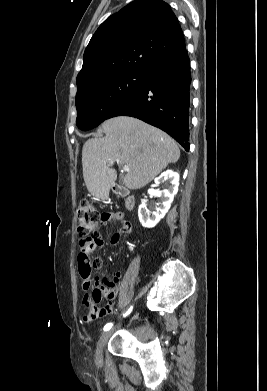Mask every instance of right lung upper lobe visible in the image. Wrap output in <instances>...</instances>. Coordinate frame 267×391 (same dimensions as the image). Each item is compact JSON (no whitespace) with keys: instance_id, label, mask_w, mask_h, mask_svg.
Listing matches in <instances>:
<instances>
[{"instance_id":"cb5924a9","label":"right lung upper lobe","mask_w":267,"mask_h":391,"mask_svg":"<svg viewBox=\"0 0 267 391\" xmlns=\"http://www.w3.org/2000/svg\"><path fill=\"white\" fill-rule=\"evenodd\" d=\"M179 22L163 0H135L106 19L91 38L77 76V91L91 79L144 72L185 49Z\"/></svg>"}]
</instances>
